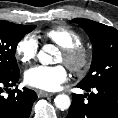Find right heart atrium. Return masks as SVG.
Here are the masks:
<instances>
[{
  "label": "right heart atrium",
  "mask_w": 118,
  "mask_h": 118,
  "mask_svg": "<svg viewBox=\"0 0 118 118\" xmlns=\"http://www.w3.org/2000/svg\"><path fill=\"white\" fill-rule=\"evenodd\" d=\"M38 50L39 42L37 37L32 33H28L17 42L15 56L19 61L27 64L36 58Z\"/></svg>",
  "instance_id": "d8ad5b80"
}]
</instances>
